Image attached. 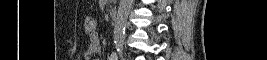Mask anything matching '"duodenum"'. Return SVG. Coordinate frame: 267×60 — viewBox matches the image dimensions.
<instances>
[{"label": "duodenum", "mask_w": 267, "mask_h": 60, "mask_svg": "<svg viewBox=\"0 0 267 60\" xmlns=\"http://www.w3.org/2000/svg\"><path fill=\"white\" fill-rule=\"evenodd\" d=\"M117 16H118V12H117V10H116V9H111V10H110V17H111L112 19H116Z\"/></svg>", "instance_id": "duodenum-1"}]
</instances>
